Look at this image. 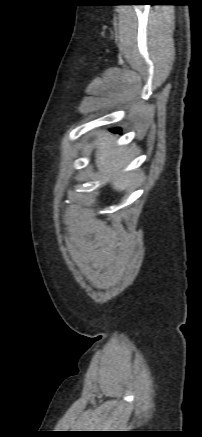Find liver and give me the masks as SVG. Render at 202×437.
<instances>
[{
	"label": "liver",
	"mask_w": 202,
	"mask_h": 437,
	"mask_svg": "<svg viewBox=\"0 0 202 437\" xmlns=\"http://www.w3.org/2000/svg\"><path fill=\"white\" fill-rule=\"evenodd\" d=\"M116 137L104 134L96 144L95 162L98 170L106 177H112L115 190L121 192L131 185L136 176L133 173H119L132 158V150L115 147Z\"/></svg>",
	"instance_id": "liver-1"
}]
</instances>
